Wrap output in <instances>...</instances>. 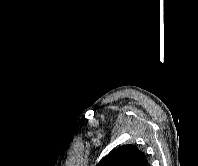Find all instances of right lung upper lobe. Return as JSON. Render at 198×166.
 Masks as SVG:
<instances>
[{
	"label": "right lung upper lobe",
	"mask_w": 198,
	"mask_h": 166,
	"mask_svg": "<svg viewBox=\"0 0 198 166\" xmlns=\"http://www.w3.org/2000/svg\"><path fill=\"white\" fill-rule=\"evenodd\" d=\"M97 166H148V162L142 151L128 144L114 149Z\"/></svg>",
	"instance_id": "obj_1"
}]
</instances>
